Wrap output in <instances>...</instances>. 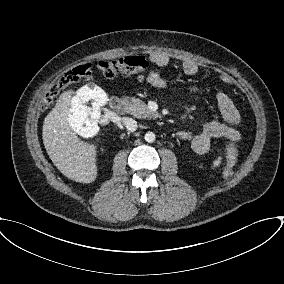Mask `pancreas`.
I'll list each match as a JSON object with an SVG mask.
<instances>
[{
  "mask_svg": "<svg viewBox=\"0 0 284 284\" xmlns=\"http://www.w3.org/2000/svg\"><path fill=\"white\" fill-rule=\"evenodd\" d=\"M122 102L125 105L127 113L137 118H155L157 114L151 111L148 106L140 99L135 97H123Z\"/></svg>",
  "mask_w": 284,
  "mask_h": 284,
  "instance_id": "pancreas-1",
  "label": "pancreas"
}]
</instances>
